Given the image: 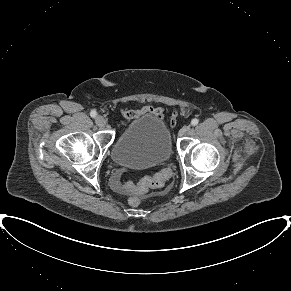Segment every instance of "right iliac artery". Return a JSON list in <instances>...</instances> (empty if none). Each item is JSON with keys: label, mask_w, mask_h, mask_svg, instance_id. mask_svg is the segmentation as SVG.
<instances>
[{"label": "right iliac artery", "mask_w": 291, "mask_h": 291, "mask_svg": "<svg viewBox=\"0 0 291 291\" xmlns=\"http://www.w3.org/2000/svg\"><path fill=\"white\" fill-rule=\"evenodd\" d=\"M91 117L95 118L97 116V112L95 110H92L90 112Z\"/></svg>", "instance_id": "1"}]
</instances>
